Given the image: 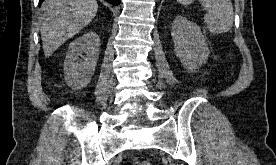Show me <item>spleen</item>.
Returning <instances> with one entry per match:
<instances>
[{"label": "spleen", "instance_id": "obj_1", "mask_svg": "<svg viewBox=\"0 0 276 165\" xmlns=\"http://www.w3.org/2000/svg\"><path fill=\"white\" fill-rule=\"evenodd\" d=\"M194 0H177L182 5H189ZM208 11L204 15L206 27L213 34H221L231 30L234 11L231 0H200Z\"/></svg>", "mask_w": 276, "mask_h": 165}]
</instances>
